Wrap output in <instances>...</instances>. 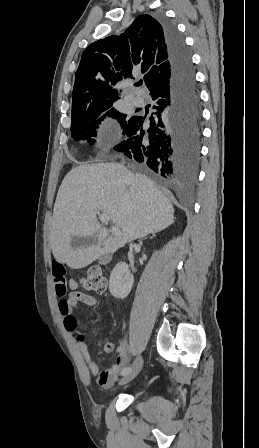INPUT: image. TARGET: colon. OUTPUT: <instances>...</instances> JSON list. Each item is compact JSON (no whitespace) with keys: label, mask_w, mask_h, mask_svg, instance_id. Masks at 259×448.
<instances>
[{"label":"colon","mask_w":259,"mask_h":448,"mask_svg":"<svg viewBox=\"0 0 259 448\" xmlns=\"http://www.w3.org/2000/svg\"><path fill=\"white\" fill-rule=\"evenodd\" d=\"M81 285L88 291L103 293L106 290L107 282L100 269L90 267L86 270L81 280Z\"/></svg>","instance_id":"colon-1"}]
</instances>
